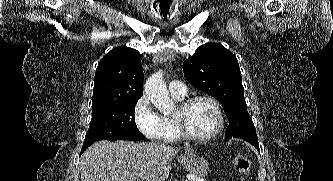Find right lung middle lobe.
Instances as JSON below:
<instances>
[{
	"label": "right lung middle lobe",
	"instance_id": "dd1d6c3e",
	"mask_svg": "<svg viewBox=\"0 0 333 181\" xmlns=\"http://www.w3.org/2000/svg\"><path fill=\"white\" fill-rule=\"evenodd\" d=\"M137 102L138 99L93 108L90 127L83 146L102 139L110 141L143 139L144 136L138 130L134 119Z\"/></svg>",
	"mask_w": 333,
	"mask_h": 181
}]
</instances>
